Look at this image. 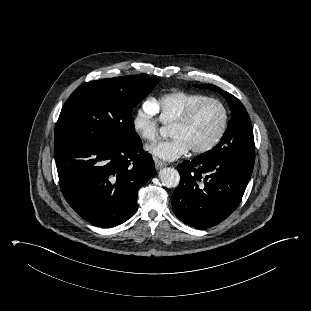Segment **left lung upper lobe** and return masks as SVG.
<instances>
[{
    "label": "left lung upper lobe",
    "instance_id": "1",
    "mask_svg": "<svg viewBox=\"0 0 311 311\" xmlns=\"http://www.w3.org/2000/svg\"><path fill=\"white\" fill-rule=\"evenodd\" d=\"M199 87L222 93L232 111L231 120L222 139L212 150L203 154V156L218 157L234 152L254 153L253 129L243 104L235 96L214 85L204 84Z\"/></svg>",
    "mask_w": 311,
    "mask_h": 311
}]
</instances>
